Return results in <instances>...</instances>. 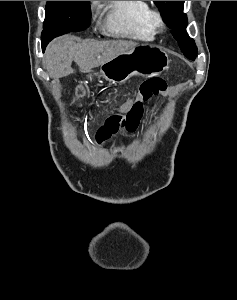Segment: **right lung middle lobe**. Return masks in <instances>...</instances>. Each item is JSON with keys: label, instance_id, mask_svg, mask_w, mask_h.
I'll use <instances>...</instances> for the list:
<instances>
[{"label": "right lung middle lobe", "instance_id": "dd1d6c3e", "mask_svg": "<svg viewBox=\"0 0 237 300\" xmlns=\"http://www.w3.org/2000/svg\"><path fill=\"white\" fill-rule=\"evenodd\" d=\"M41 35L43 49L53 38L89 27V1H47Z\"/></svg>", "mask_w": 237, "mask_h": 300}]
</instances>
